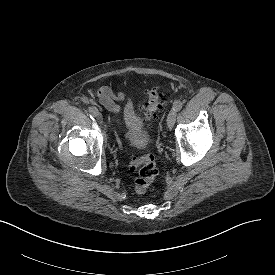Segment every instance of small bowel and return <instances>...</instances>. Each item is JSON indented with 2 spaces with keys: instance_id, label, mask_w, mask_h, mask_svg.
<instances>
[{
  "instance_id": "c3829d8e",
  "label": "small bowel",
  "mask_w": 275,
  "mask_h": 275,
  "mask_svg": "<svg viewBox=\"0 0 275 275\" xmlns=\"http://www.w3.org/2000/svg\"><path fill=\"white\" fill-rule=\"evenodd\" d=\"M96 97L109 111L119 112L126 95L124 92L115 93L108 86H102L96 91Z\"/></svg>"
}]
</instances>
